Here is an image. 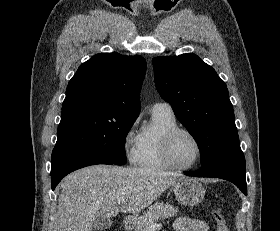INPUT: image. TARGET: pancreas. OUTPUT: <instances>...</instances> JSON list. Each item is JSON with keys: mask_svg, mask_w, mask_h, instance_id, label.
Returning a JSON list of instances; mask_svg holds the SVG:
<instances>
[{"mask_svg": "<svg viewBox=\"0 0 280 231\" xmlns=\"http://www.w3.org/2000/svg\"><path fill=\"white\" fill-rule=\"evenodd\" d=\"M177 211V207H172L171 203L157 201L154 205H150L144 215L133 219V227H135V231H150V225L157 223L160 217H172V215H176Z\"/></svg>", "mask_w": 280, "mask_h": 231, "instance_id": "obj_1", "label": "pancreas"}]
</instances>
